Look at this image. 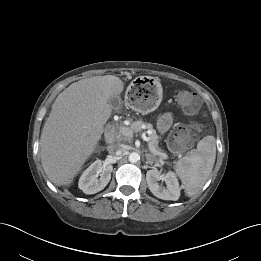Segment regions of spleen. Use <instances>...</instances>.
Instances as JSON below:
<instances>
[{
	"instance_id": "obj_1",
	"label": "spleen",
	"mask_w": 261,
	"mask_h": 261,
	"mask_svg": "<svg viewBox=\"0 0 261 261\" xmlns=\"http://www.w3.org/2000/svg\"><path fill=\"white\" fill-rule=\"evenodd\" d=\"M216 158V143L213 136H206L175 165L176 174L188 196H193L203 187L212 172Z\"/></svg>"
}]
</instances>
